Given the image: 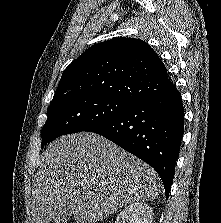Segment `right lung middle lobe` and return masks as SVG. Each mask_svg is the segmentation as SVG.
Wrapping results in <instances>:
<instances>
[{"label": "right lung middle lobe", "instance_id": "1", "mask_svg": "<svg viewBox=\"0 0 221 223\" xmlns=\"http://www.w3.org/2000/svg\"><path fill=\"white\" fill-rule=\"evenodd\" d=\"M133 103L107 96L87 95L51 103L41 131L43 148L65 134L86 131L128 109Z\"/></svg>", "mask_w": 221, "mask_h": 223}]
</instances>
